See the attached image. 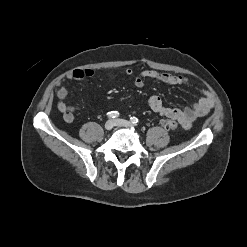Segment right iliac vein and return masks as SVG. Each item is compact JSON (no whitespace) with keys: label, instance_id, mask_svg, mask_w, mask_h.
<instances>
[{"label":"right iliac vein","instance_id":"1","mask_svg":"<svg viewBox=\"0 0 247 247\" xmlns=\"http://www.w3.org/2000/svg\"><path fill=\"white\" fill-rule=\"evenodd\" d=\"M113 126H114V121L113 120H108L104 125L106 130H111L113 128Z\"/></svg>","mask_w":247,"mask_h":247}]
</instances>
